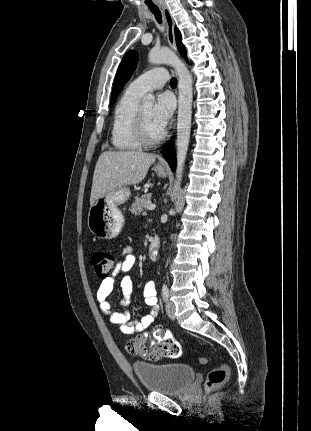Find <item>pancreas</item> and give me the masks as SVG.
Masks as SVG:
<instances>
[{
  "label": "pancreas",
  "instance_id": "cf45deb5",
  "mask_svg": "<svg viewBox=\"0 0 311 431\" xmlns=\"http://www.w3.org/2000/svg\"><path fill=\"white\" fill-rule=\"evenodd\" d=\"M151 196L152 194H144V196L135 200L134 204H131L129 212H131V214H135V216H139L140 212H144L145 208L149 206L147 202L151 200Z\"/></svg>",
  "mask_w": 311,
  "mask_h": 431
}]
</instances>
